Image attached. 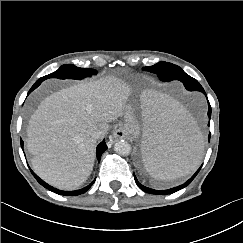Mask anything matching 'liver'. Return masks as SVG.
I'll use <instances>...</instances> for the list:
<instances>
[{"mask_svg":"<svg viewBox=\"0 0 243 243\" xmlns=\"http://www.w3.org/2000/svg\"><path fill=\"white\" fill-rule=\"evenodd\" d=\"M129 96L123 81L105 77L46 97L27 127V149L33 155L35 173L62 190L80 187L93 170L94 132L107 134L108 123L124 115Z\"/></svg>","mask_w":243,"mask_h":243,"instance_id":"1","label":"liver"}]
</instances>
